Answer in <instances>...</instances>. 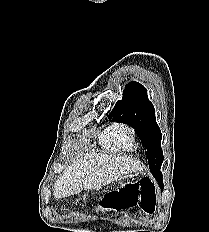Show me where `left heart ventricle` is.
<instances>
[{"mask_svg":"<svg viewBox=\"0 0 209 232\" xmlns=\"http://www.w3.org/2000/svg\"><path fill=\"white\" fill-rule=\"evenodd\" d=\"M125 143H126V145H127L128 147H132V146H133L131 140H130L128 137H125Z\"/></svg>","mask_w":209,"mask_h":232,"instance_id":"1","label":"left heart ventricle"}]
</instances>
